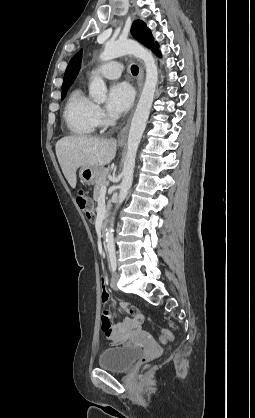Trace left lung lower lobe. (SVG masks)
Returning a JSON list of instances; mask_svg holds the SVG:
<instances>
[{
    "label": "left lung lower lobe",
    "instance_id": "obj_1",
    "mask_svg": "<svg viewBox=\"0 0 255 418\" xmlns=\"http://www.w3.org/2000/svg\"><path fill=\"white\" fill-rule=\"evenodd\" d=\"M156 55L161 56L160 52L158 51V46L152 50Z\"/></svg>",
    "mask_w": 255,
    "mask_h": 418
}]
</instances>
